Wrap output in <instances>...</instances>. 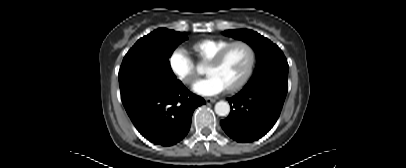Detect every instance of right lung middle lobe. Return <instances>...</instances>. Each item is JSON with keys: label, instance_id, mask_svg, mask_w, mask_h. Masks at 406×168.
Here are the masks:
<instances>
[{"label": "right lung middle lobe", "instance_id": "obj_1", "mask_svg": "<svg viewBox=\"0 0 406 168\" xmlns=\"http://www.w3.org/2000/svg\"><path fill=\"white\" fill-rule=\"evenodd\" d=\"M187 37L159 28L139 39L125 55L118 79L123 104L175 82L168 58Z\"/></svg>", "mask_w": 406, "mask_h": 168}]
</instances>
